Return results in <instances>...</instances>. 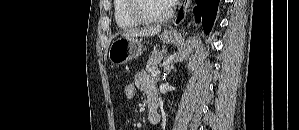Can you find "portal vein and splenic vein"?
Masks as SVG:
<instances>
[{
	"label": "portal vein and splenic vein",
	"mask_w": 299,
	"mask_h": 130,
	"mask_svg": "<svg viewBox=\"0 0 299 130\" xmlns=\"http://www.w3.org/2000/svg\"><path fill=\"white\" fill-rule=\"evenodd\" d=\"M158 75H160V71H159V70H155V71H153V72L151 73V76H152V77H155V76H158Z\"/></svg>",
	"instance_id": "1"
}]
</instances>
